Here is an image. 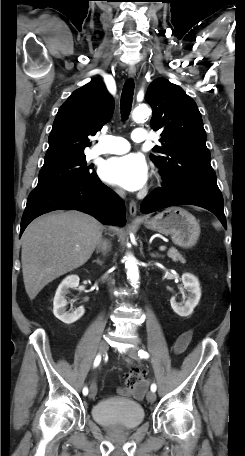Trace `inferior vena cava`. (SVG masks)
<instances>
[{
	"instance_id": "1",
	"label": "inferior vena cava",
	"mask_w": 245,
	"mask_h": 456,
	"mask_svg": "<svg viewBox=\"0 0 245 456\" xmlns=\"http://www.w3.org/2000/svg\"><path fill=\"white\" fill-rule=\"evenodd\" d=\"M117 194L122 198L125 197V192L123 190H117ZM98 248L106 251L109 248L108 242L106 240L100 239L98 241Z\"/></svg>"
}]
</instances>
